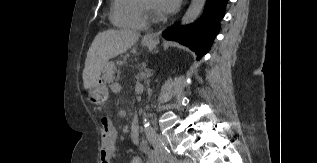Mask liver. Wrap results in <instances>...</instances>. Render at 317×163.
<instances>
[{"mask_svg": "<svg viewBox=\"0 0 317 163\" xmlns=\"http://www.w3.org/2000/svg\"><path fill=\"white\" fill-rule=\"evenodd\" d=\"M139 37L140 34L127 30L108 29L99 32L87 52L83 70L84 88L93 87L109 59L125 53Z\"/></svg>", "mask_w": 317, "mask_h": 163, "instance_id": "liver-1", "label": "liver"}]
</instances>
